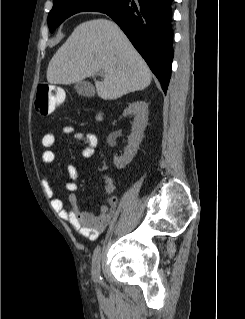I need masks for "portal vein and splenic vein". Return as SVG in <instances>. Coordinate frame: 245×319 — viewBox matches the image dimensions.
I'll list each match as a JSON object with an SVG mask.
<instances>
[{
    "label": "portal vein and splenic vein",
    "mask_w": 245,
    "mask_h": 319,
    "mask_svg": "<svg viewBox=\"0 0 245 319\" xmlns=\"http://www.w3.org/2000/svg\"><path fill=\"white\" fill-rule=\"evenodd\" d=\"M103 74H104V71L100 70L99 75H103Z\"/></svg>",
    "instance_id": "portal-vein-and-splenic-vein-1"
}]
</instances>
